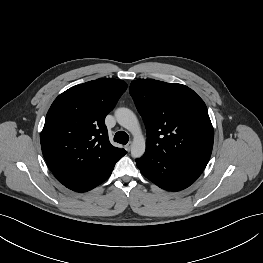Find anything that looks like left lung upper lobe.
<instances>
[{
    "mask_svg": "<svg viewBox=\"0 0 263 263\" xmlns=\"http://www.w3.org/2000/svg\"><path fill=\"white\" fill-rule=\"evenodd\" d=\"M130 94L147 128L146 153L205 168L214 131L203 100L189 87L158 80L131 82Z\"/></svg>",
    "mask_w": 263,
    "mask_h": 263,
    "instance_id": "1",
    "label": "left lung upper lobe"
}]
</instances>
